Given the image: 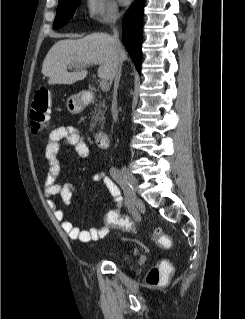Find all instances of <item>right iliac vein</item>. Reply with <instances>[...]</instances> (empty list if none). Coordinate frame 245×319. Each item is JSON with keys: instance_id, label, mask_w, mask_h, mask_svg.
I'll return each mask as SVG.
<instances>
[{"instance_id": "obj_1", "label": "right iliac vein", "mask_w": 245, "mask_h": 319, "mask_svg": "<svg viewBox=\"0 0 245 319\" xmlns=\"http://www.w3.org/2000/svg\"><path fill=\"white\" fill-rule=\"evenodd\" d=\"M122 173L128 183V185H130L131 187V190H132V195L134 197V201H135V204L137 206H140L141 205V201L137 198V180L135 178V176L126 168V167H122Z\"/></svg>"}]
</instances>
